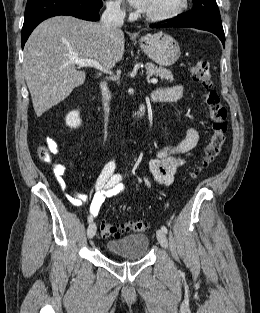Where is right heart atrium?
I'll return each instance as SVG.
<instances>
[{"mask_svg":"<svg viewBox=\"0 0 260 313\" xmlns=\"http://www.w3.org/2000/svg\"><path fill=\"white\" fill-rule=\"evenodd\" d=\"M107 9L113 15H121L125 11L122 0H109L107 2Z\"/></svg>","mask_w":260,"mask_h":313,"instance_id":"right-heart-atrium-1","label":"right heart atrium"}]
</instances>
